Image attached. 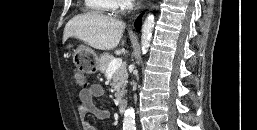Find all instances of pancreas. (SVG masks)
<instances>
[{"instance_id":"1","label":"pancreas","mask_w":257,"mask_h":130,"mask_svg":"<svg viewBox=\"0 0 257 130\" xmlns=\"http://www.w3.org/2000/svg\"><path fill=\"white\" fill-rule=\"evenodd\" d=\"M115 59L113 55L109 53L103 54L98 60V68L102 74L106 75V71L110 62ZM127 69L126 65L120 66L112 75V88L115 91V97L120 99L124 94V89L127 83Z\"/></svg>"}]
</instances>
